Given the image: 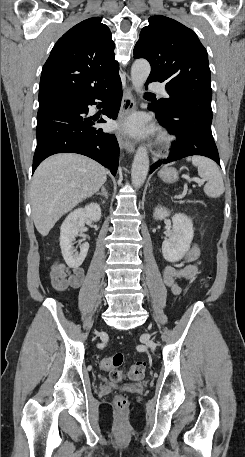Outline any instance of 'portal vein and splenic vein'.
<instances>
[{
    "label": "portal vein and splenic vein",
    "mask_w": 245,
    "mask_h": 457,
    "mask_svg": "<svg viewBox=\"0 0 245 457\" xmlns=\"http://www.w3.org/2000/svg\"><path fill=\"white\" fill-rule=\"evenodd\" d=\"M183 176H187V174H183ZM187 178L188 180H191L190 182L192 184H195L196 182H198V184H203V182H205L204 178H197V176H194V178H190V176H187Z\"/></svg>",
    "instance_id": "1"
}]
</instances>
